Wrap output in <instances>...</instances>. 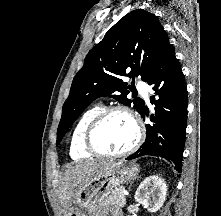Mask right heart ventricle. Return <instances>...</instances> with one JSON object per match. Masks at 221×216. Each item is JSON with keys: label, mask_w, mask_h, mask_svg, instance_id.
<instances>
[{"label": "right heart ventricle", "mask_w": 221, "mask_h": 216, "mask_svg": "<svg viewBox=\"0 0 221 216\" xmlns=\"http://www.w3.org/2000/svg\"><path fill=\"white\" fill-rule=\"evenodd\" d=\"M103 109L101 104L94 105L88 108L86 111L78 119L75 124L70 144H69V154L73 159H82L91 157L90 154L85 148L83 144V136L86 127L92 121V119Z\"/></svg>", "instance_id": "e07e8e85"}]
</instances>
